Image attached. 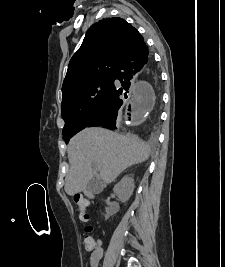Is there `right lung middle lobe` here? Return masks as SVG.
<instances>
[{
  "instance_id": "right-lung-middle-lobe-1",
  "label": "right lung middle lobe",
  "mask_w": 225,
  "mask_h": 267,
  "mask_svg": "<svg viewBox=\"0 0 225 267\" xmlns=\"http://www.w3.org/2000/svg\"><path fill=\"white\" fill-rule=\"evenodd\" d=\"M114 87V75L88 81L63 94L61 114L65 121L63 139L66 143L84 129L101 109Z\"/></svg>"
}]
</instances>
